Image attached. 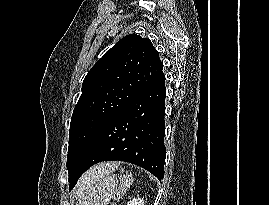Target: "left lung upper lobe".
<instances>
[{
    "label": "left lung upper lobe",
    "instance_id": "5c2ea615",
    "mask_svg": "<svg viewBox=\"0 0 269 205\" xmlns=\"http://www.w3.org/2000/svg\"><path fill=\"white\" fill-rule=\"evenodd\" d=\"M149 39L129 34L100 58L86 75L73 111L67 169L75 167L102 128L119 114L163 71Z\"/></svg>",
    "mask_w": 269,
    "mask_h": 205
}]
</instances>
